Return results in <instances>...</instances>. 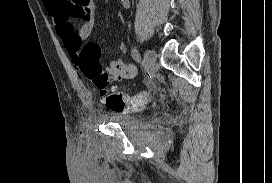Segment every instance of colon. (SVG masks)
Here are the masks:
<instances>
[{
    "label": "colon",
    "instance_id": "5ec220e1",
    "mask_svg": "<svg viewBox=\"0 0 272 183\" xmlns=\"http://www.w3.org/2000/svg\"><path fill=\"white\" fill-rule=\"evenodd\" d=\"M100 47L97 43H86L79 54L77 65L83 75L97 88L104 97L107 107L117 112H136L141 110L149 101L147 93L126 95L115 92L108 74L99 63Z\"/></svg>",
    "mask_w": 272,
    "mask_h": 183
}]
</instances>
